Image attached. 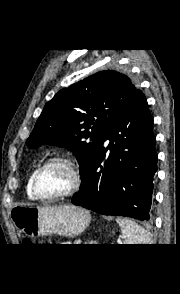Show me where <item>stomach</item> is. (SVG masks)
<instances>
[{
  "instance_id": "1",
  "label": "stomach",
  "mask_w": 180,
  "mask_h": 294,
  "mask_svg": "<svg viewBox=\"0 0 180 294\" xmlns=\"http://www.w3.org/2000/svg\"><path fill=\"white\" fill-rule=\"evenodd\" d=\"M90 213L74 205L16 206L11 210V220L25 235L37 238L52 234L74 237L90 223Z\"/></svg>"
}]
</instances>
